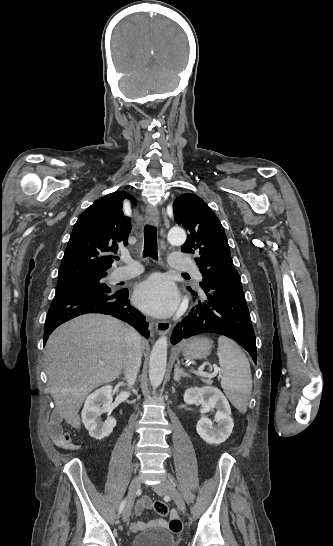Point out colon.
Listing matches in <instances>:
<instances>
[{
  "instance_id": "colon-1",
  "label": "colon",
  "mask_w": 333,
  "mask_h": 546,
  "mask_svg": "<svg viewBox=\"0 0 333 546\" xmlns=\"http://www.w3.org/2000/svg\"><path fill=\"white\" fill-rule=\"evenodd\" d=\"M153 508H154L155 512L158 515H161V516H165L169 512L168 505L165 502L161 501V500L155 501L154 505H153Z\"/></svg>"
}]
</instances>
